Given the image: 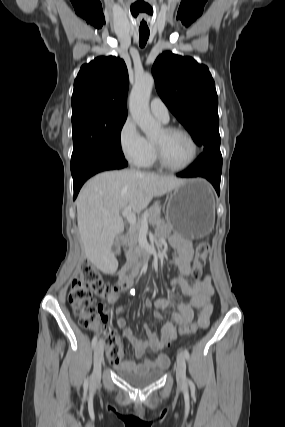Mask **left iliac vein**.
I'll return each instance as SVG.
<instances>
[{
  "label": "left iliac vein",
  "mask_w": 285,
  "mask_h": 427,
  "mask_svg": "<svg viewBox=\"0 0 285 427\" xmlns=\"http://www.w3.org/2000/svg\"><path fill=\"white\" fill-rule=\"evenodd\" d=\"M176 380L180 388L182 389L186 388L187 386L186 362L181 352H178V355H177Z\"/></svg>",
  "instance_id": "obj_1"
}]
</instances>
